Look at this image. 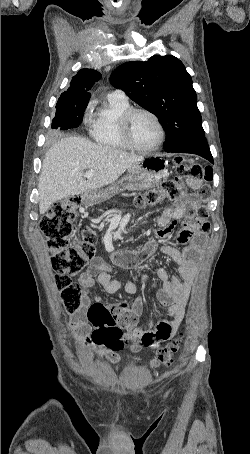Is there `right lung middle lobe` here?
Returning <instances> with one entry per match:
<instances>
[{"label":"right lung middle lobe","mask_w":250,"mask_h":454,"mask_svg":"<svg viewBox=\"0 0 250 454\" xmlns=\"http://www.w3.org/2000/svg\"><path fill=\"white\" fill-rule=\"evenodd\" d=\"M88 102L78 103H60L56 105V115L52 121L51 127L67 130L78 127L84 115Z\"/></svg>","instance_id":"right-lung-middle-lobe-1"}]
</instances>
